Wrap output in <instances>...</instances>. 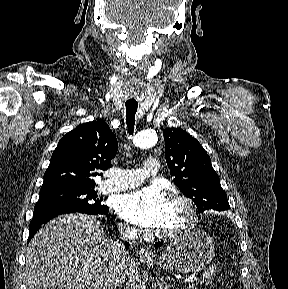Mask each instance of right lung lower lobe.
Masks as SVG:
<instances>
[{"instance_id": "right-lung-lower-lobe-1", "label": "right lung lower lobe", "mask_w": 288, "mask_h": 289, "mask_svg": "<svg viewBox=\"0 0 288 289\" xmlns=\"http://www.w3.org/2000/svg\"><path fill=\"white\" fill-rule=\"evenodd\" d=\"M74 212H79L75 210H67V209H44V210H39V211H34L33 213V219L30 222V230H29V240L35 235V233L40 229V227L47 223L49 220L52 218L61 215V214H66V213H74ZM109 212V208L106 207L100 211H96L93 213H87L91 215H106ZM84 213V212H80ZM113 221V220H112ZM113 223V222H112ZM114 224V223H113ZM126 249L129 248V243L125 244Z\"/></svg>"}]
</instances>
